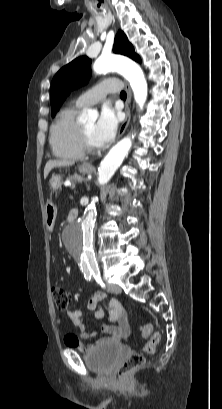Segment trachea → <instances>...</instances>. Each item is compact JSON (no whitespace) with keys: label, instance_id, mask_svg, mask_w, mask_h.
I'll list each match as a JSON object with an SVG mask.
<instances>
[{"label":"trachea","instance_id":"trachea-1","mask_svg":"<svg viewBox=\"0 0 222 409\" xmlns=\"http://www.w3.org/2000/svg\"><path fill=\"white\" fill-rule=\"evenodd\" d=\"M120 97L123 98V99H126V92H125V91H121Z\"/></svg>","mask_w":222,"mask_h":409}]
</instances>
